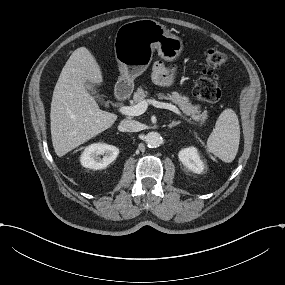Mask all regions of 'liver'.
<instances>
[{"mask_svg":"<svg viewBox=\"0 0 285 285\" xmlns=\"http://www.w3.org/2000/svg\"><path fill=\"white\" fill-rule=\"evenodd\" d=\"M87 81L100 84L103 77L94 56L80 47L67 60L53 91L51 136L59 157L110 128L117 119L99 108Z\"/></svg>","mask_w":285,"mask_h":285,"instance_id":"obj_1","label":"liver"}]
</instances>
